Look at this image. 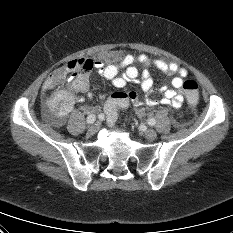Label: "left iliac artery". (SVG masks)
I'll list each match as a JSON object with an SVG mask.
<instances>
[{"label":"left iliac artery","instance_id":"1","mask_svg":"<svg viewBox=\"0 0 233 233\" xmlns=\"http://www.w3.org/2000/svg\"><path fill=\"white\" fill-rule=\"evenodd\" d=\"M155 123H156V120L154 118L148 119V124L149 125L153 126V125H155Z\"/></svg>","mask_w":233,"mask_h":233}]
</instances>
